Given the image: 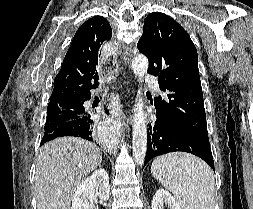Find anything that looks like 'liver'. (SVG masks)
Segmentation results:
<instances>
[{
    "mask_svg": "<svg viewBox=\"0 0 253 209\" xmlns=\"http://www.w3.org/2000/svg\"><path fill=\"white\" fill-rule=\"evenodd\" d=\"M101 161L100 149L82 138L61 137L43 145L34 181L37 209H70L77 187Z\"/></svg>",
    "mask_w": 253,
    "mask_h": 209,
    "instance_id": "liver-1",
    "label": "liver"
}]
</instances>
